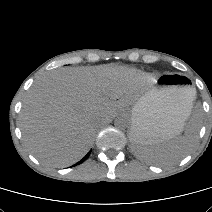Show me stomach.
<instances>
[{
	"mask_svg": "<svg viewBox=\"0 0 212 212\" xmlns=\"http://www.w3.org/2000/svg\"><path fill=\"white\" fill-rule=\"evenodd\" d=\"M154 83L132 109L130 139L134 145L137 129L145 141L156 142L176 137L184 127L186 119L181 98L189 88L184 77L176 74L163 75L157 77Z\"/></svg>",
	"mask_w": 212,
	"mask_h": 212,
	"instance_id": "obj_1",
	"label": "stomach"
}]
</instances>
